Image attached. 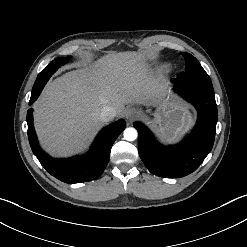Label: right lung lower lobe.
I'll list each match as a JSON object with an SVG mask.
<instances>
[{
    "instance_id": "right-lung-lower-lobe-1",
    "label": "right lung lower lobe",
    "mask_w": 247,
    "mask_h": 247,
    "mask_svg": "<svg viewBox=\"0 0 247 247\" xmlns=\"http://www.w3.org/2000/svg\"><path fill=\"white\" fill-rule=\"evenodd\" d=\"M42 89L31 94L29 105L38 98ZM32 111L31 108L27 112L28 138L31 149L45 170L65 183H81L99 178L108 164L114 141L126 126L124 120H119L101 130L90 152L84 157L56 160L45 154L38 144Z\"/></svg>"
}]
</instances>
